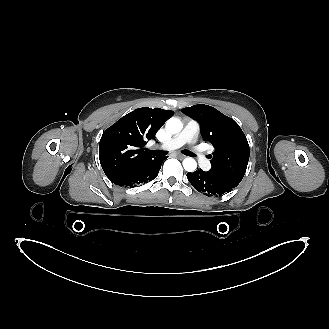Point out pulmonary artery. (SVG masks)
<instances>
[{
    "mask_svg": "<svg viewBox=\"0 0 329 329\" xmlns=\"http://www.w3.org/2000/svg\"><path fill=\"white\" fill-rule=\"evenodd\" d=\"M198 132V122L190 120L186 123L180 133L163 143L162 148L166 150H174L187 144L191 152L198 159L200 167L204 170H208L210 168V163L196 144Z\"/></svg>",
    "mask_w": 329,
    "mask_h": 329,
    "instance_id": "pulmonary-artery-1",
    "label": "pulmonary artery"
}]
</instances>
